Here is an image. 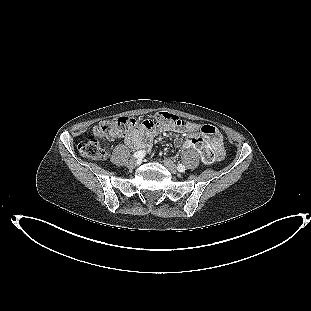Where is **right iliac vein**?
<instances>
[{"label":"right iliac vein","instance_id":"63e3f726","mask_svg":"<svg viewBox=\"0 0 311 311\" xmlns=\"http://www.w3.org/2000/svg\"><path fill=\"white\" fill-rule=\"evenodd\" d=\"M137 164H138V161H137V160L131 159V160L128 162L127 166H128L129 168H135V167L137 166Z\"/></svg>","mask_w":311,"mask_h":311}]
</instances>
